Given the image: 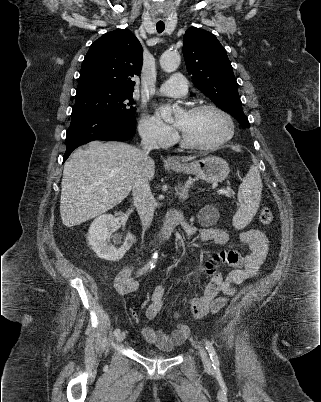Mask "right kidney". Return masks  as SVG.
Wrapping results in <instances>:
<instances>
[{
  "label": "right kidney",
  "instance_id": "right-kidney-1",
  "mask_svg": "<svg viewBox=\"0 0 321 402\" xmlns=\"http://www.w3.org/2000/svg\"><path fill=\"white\" fill-rule=\"evenodd\" d=\"M118 225L117 219L111 214H103L94 219L88 232V241L96 255L104 260L116 261L121 259L130 249L134 237L128 234L120 248L109 245L111 231Z\"/></svg>",
  "mask_w": 321,
  "mask_h": 402
}]
</instances>
